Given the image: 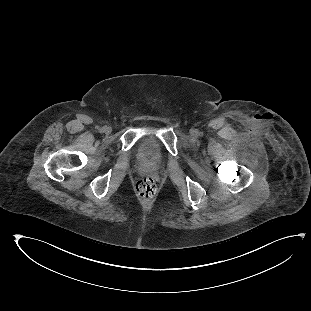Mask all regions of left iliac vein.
I'll use <instances>...</instances> for the list:
<instances>
[{
  "label": "left iliac vein",
  "instance_id": "1",
  "mask_svg": "<svg viewBox=\"0 0 311 311\" xmlns=\"http://www.w3.org/2000/svg\"><path fill=\"white\" fill-rule=\"evenodd\" d=\"M191 135H192L193 137H195V136H196V131H192V132H191Z\"/></svg>",
  "mask_w": 311,
  "mask_h": 311
}]
</instances>
